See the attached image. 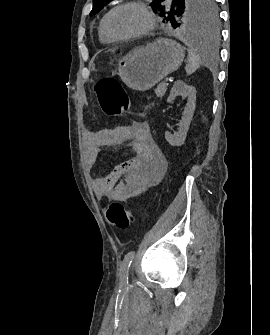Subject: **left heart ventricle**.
Here are the masks:
<instances>
[{
  "label": "left heart ventricle",
  "mask_w": 270,
  "mask_h": 335,
  "mask_svg": "<svg viewBox=\"0 0 270 335\" xmlns=\"http://www.w3.org/2000/svg\"><path fill=\"white\" fill-rule=\"evenodd\" d=\"M108 25L114 34L123 36L142 31L147 26V19L138 7L125 5L111 14Z\"/></svg>",
  "instance_id": "1"
}]
</instances>
